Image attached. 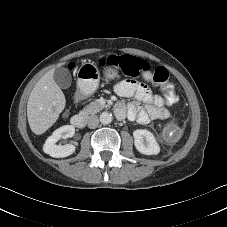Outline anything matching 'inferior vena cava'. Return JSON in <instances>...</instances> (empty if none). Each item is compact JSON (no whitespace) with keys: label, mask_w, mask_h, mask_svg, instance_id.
Instances as JSON below:
<instances>
[{"label":"inferior vena cava","mask_w":227,"mask_h":227,"mask_svg":"<svg viewBox=\"0 0 227 227\" xmlns=\"http://www.w3.org/2000/svg\"><path fill=\"white\" fill-rule=\"evenodd\" d=\"M99 124V118L96 115L90 116L88 118V127L94 129Z\"/></svg>","instance_id":"obj_1"}]
</instances>
